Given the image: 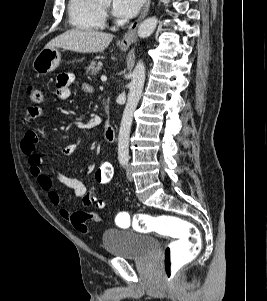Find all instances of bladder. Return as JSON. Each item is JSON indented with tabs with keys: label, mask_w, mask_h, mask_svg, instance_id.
I'll use <instances>...</instances> for the list:
<instances>
[{
	"label": "bladder",
	"mask_w": 267,
	"mask_h": 301,
	"mask_svg": "<svg viewBox=\"0 0 267 301\" xmlns=\"http://www.w3.org/2000/svg\"><path fill=\"white\" fill-rule=\"evenodd\" d=\"M101 239L103 248L109 255L125 259H144L159 246L156 237L123 229H107Z\"/></svg>",
	"instance_id": "1"
}]
</instances>
